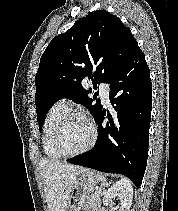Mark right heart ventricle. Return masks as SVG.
I'll use <instances>...</instances> for the list:
<instances>
[{
	"instance_id": "obj_1",
	"label": "right heart ventricle",
	"mask_w": 178,
	"mask_h": 211,
	"mask_svg": "<svg viewBox=\"0 0 178 211\" xmlns=\"http://www.w3.org/2000/svg\"><path fill=\"white\" fill-rule=\"evenodd\" d=\"M69 111L64 101L56 102L52 105L47 113L44 122V137H43V149L46 156L50 159H59L61 156L56 151L54 145V138L56 130L64 117Z\"/></svg>"
}]
</instances>
